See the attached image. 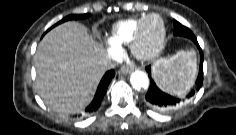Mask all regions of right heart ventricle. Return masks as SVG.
<instances>
[{"label": "right heart ventricle", "instance_id": "obj_1", "mask_svg": "<svg viewBox=\"0 0 236 135\" xmlns=\"http://www.w3.org/2000/svg\"><path fill=\"white\" fill-rule=\"evenodd\" d=\"M145 16L128 18L113 24L109 35L112 44L116 47L130 44Z\"/></svg>", "mask_w": 236, "mask_h": 135}]
</instances>
